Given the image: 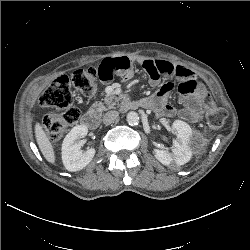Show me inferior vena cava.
<instances>
[{
    "mask_svg": "<svg viewBox=\"0 0 250 250\" xmlns=\"http://www.w3.org/2000/svg\"><path fill=\"white\" fill-rule=\"evenodd\" d=\"M119 116L118 111L112 110V111H108L107 113L104 114L103 116V123L106 125H109L111 123H113Z\"/></svg>",
    "mask_w": 250,
    "mask_h": 250,
    "instance_id": "inferior-vena-cava-1",
    "label": "inferior vena cava"
}]
</instances>
